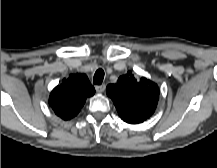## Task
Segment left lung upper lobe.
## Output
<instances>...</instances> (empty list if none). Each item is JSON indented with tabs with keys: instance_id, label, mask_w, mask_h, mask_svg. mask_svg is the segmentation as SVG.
<instances>
[{
	"instance_id": "1",
	"label": "left lung upper lobe",
	"mask_w": 217,
	"mask_h": 168,
	"mask_svg": "<svg viewBox=\"0 0 217 168\" xmlns=\"http://www.w3.org/2000/svg\"><path fill=\"white\" fill-rule=\"evenodd\" d=\"M107 95L113 100L120 118L130 124L141 123L155 111L159 99L158 86L142 77L137 80L128 71L116 84H109Z\"/></svg>"
}]
</instances>
